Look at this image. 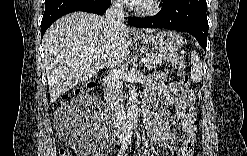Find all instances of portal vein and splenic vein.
I'll list each match as a JSON object with an SVG mask.
<instances>
[{
	"mask_svg": "<svg viewBox=\"0 0 247 156\" xmlns=\"http://www.w3.org/2000/svg\"><path fill=\"white\" fill-rule=\"evenodd\" d=\"M92 60H93V58L92 57H89V61H92ZM142 62L145 64V63L148 62V60L146 58H143L142 59Z\"/></svg>",
	"mask_w": 247,
	"mask_h": 156,
	"instance_id": "1",
	"label": "portal vein and splenic vein"
}]
</instances>
